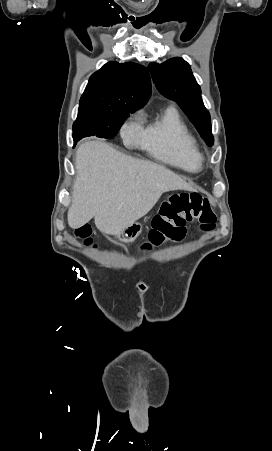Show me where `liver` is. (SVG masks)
I'll use <instances>...</instances> for the list:
<instances>
[{
  "label": "liver",
  "mask_w": 272,
  "mask_h": 451,
  "mask_svg": "<svg viewBox=\"0 0 272 451\" xmlns=\"http://www.w3.org/2000/svg\"><path fill=\"white\" fill-rule=\"evenodd\" d=\"M75 170L69 226H84L94 218L108 235L146 216L164 192L193 190L165 166L125 156L105 142L81 144Z\"/></svg>",
  "instance_id": "6515ba94"
}]
</instances>
